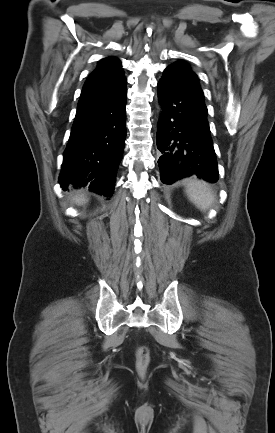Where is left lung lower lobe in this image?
Instances as JSON below:
<instances>
[{"mask_svg":"<svg viewBox=\"0 0 275 433\" xmlns=\"http://www.w3.org/2000/svg\"><path fill=\"white\" fill-rule=\"evenodd\" d=\"M162 115L157 133L161 181L172 184L190 176L218 181V166L204 100L166 79L157 85Z\"/></svg>","mask_w":275,"mask_h":433,"instance_id":"1","label":"left lung lower lobe"}]
</instances>
